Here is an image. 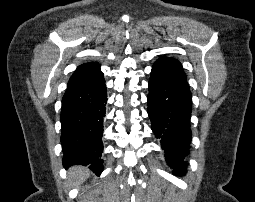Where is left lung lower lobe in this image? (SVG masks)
<instances>
[{"label":"left lung lower lobe","instance_id":"0a47b994","mask_svg":"<svg viewBox=\"0 0 255 202\" xmlns=\"http://www.w3.org/2000/svg\"><path fill=\"white\" fill-rule=\"evenodd\" d=\"M148 86L151 129L156 138L161 139L166 161L173 166L175 175H185L187 163L183 159L191 141L192 95L189 87L154 73H151Z\"/></svg>","mask_w":255,"mask_h":202}]
</instances>
